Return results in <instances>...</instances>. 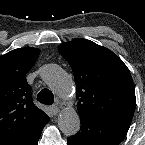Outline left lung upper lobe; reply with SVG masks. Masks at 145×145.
<instances>
[{"label":"left lung upper lobe","instance_id":"obj_1","mask_svg":"<svg viewBox=\"0 0 145 145\" xmlns=\"http://www.w3.org/2000/svg\"><path fill=\"white\" fill-rule=\"evenodd\" d=\"M59 52L74 74L80 117L132 120L134 84L129 69L116 54L81 38L61 44Z\"/></svg>","mask_w":145,"mask_h":145}]
</instances>
